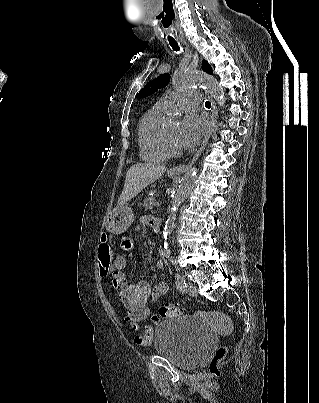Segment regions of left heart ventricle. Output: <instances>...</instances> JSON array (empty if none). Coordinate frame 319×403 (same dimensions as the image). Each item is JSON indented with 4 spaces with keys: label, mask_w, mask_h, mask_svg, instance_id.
<instances>
[{
    "label": "left heart ventricle",
    "mask_w": 319,
    "mask_h": 403,
    "mask_svg": "<svg viewBox=\"0 0 319 403\" xmlns=\"http://www.w3.org/2000/svg\"><path fill=\"white\" fill-rule=\"evenodd\" d=\"M166 133L169 137V139L171 140V142L178 146V141H177V137H178V132H179V125L178 124H171L165 127Z\"/></svg>",
    "instance_id": "left-heart-ventricle-1"
}]
</instances>
